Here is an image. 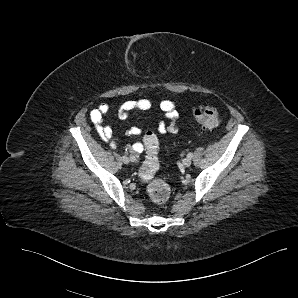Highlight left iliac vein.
Listing matches in <instances>:
<instances>
[{"instance_id": "1", "label": "left iliac vein", "mask_w": 298, "mask_h": 298, "mask_svg": "<svg viewBox=\"0 0 298 298\" xmlns=\"http://www.w3.org/2000/svg\"><path fill=\"white\" fill-rule=\"evenodd\" d=\"M192 161H191V158L187 157V158H184L182 160V164L185 166V167H189L191 165Z\"/></svg>"}]
</instances>
